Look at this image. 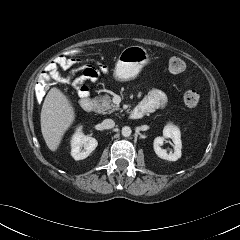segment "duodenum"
<instances>
[{
	"instance_id": "duodenum-1",
	"label": "duodenum",
	"mask_w": 240,
	"mask_h": 240,
	"mask_svg": "<svg viewBox=\"0 0 240 240\" xmlns=\"http://www.w3.org/2000/svg\"><path fill=\"white\" fill-rule=\"evenodd\" d=\"M95 103L90 97H82L80 99V107L85 112H91L94 109ZM144 116L143 111L135 108L131 111L130 117L132 119H141Z\"/></svg>"
}]
</instances>
